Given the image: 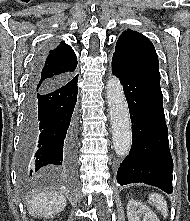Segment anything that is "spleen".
Wrapping results in <instances>:
<instances>
[{"instance_id":"1","label":"spleen","mask_w":190,"mask_h":221,"mask_svg":"<svg viewBox=\"0 0 190 221\" xmlns=\"http://www.w3.org/2000/svg\"><path fill=\"white\" fill-rule=\"evenodd\" d=\"M149 201L162 213L165 218L168 216L167 203L163 196L157 193L150 194Z\"/></svg>"}]
</instances>
